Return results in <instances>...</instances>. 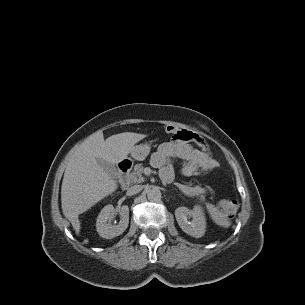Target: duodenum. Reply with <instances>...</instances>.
Segmentation results:
<instances>
[{
	"mask_svg": "<svg viewBox=\"0 0 305 305\" xmlns=\"http://www.w3.org/2000/svg\"><path fill=\"white\" fill-rule=\"evenodd\" d=\"M131 169V164L128 161H122L118 164V170L120 173V183L123 188L128 185V174Z\"/></svg>",
	"mask_w": 305,
	"mask_h": 305,
	"instance_id": "obj_1",
	"label": "duodenum"
}]
</instances>
